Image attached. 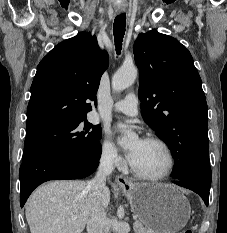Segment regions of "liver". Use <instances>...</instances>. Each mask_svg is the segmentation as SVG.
I'll return each instance as SVG.
<instances>
[{
  "label": "liver",
  "instance_id": "6515ba94",
  "mask_svg": "<svg viewBox=\"0 0 227 233\" xmlns=\"http://www.w3.org/2000/svg\"><path fill=\"white\" fill-rule=\"evenodd\" d=\"M84 181H52L37 188L26 203L25 215L31 233H82L90 217L91 201ZM110 203L105 187L100 207ZM76 216L75 220L71 217Z\"/></svg>",
  "mask_w": 227,
  "mask_h": 233
}]
</instances>
